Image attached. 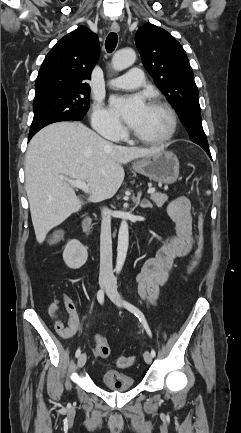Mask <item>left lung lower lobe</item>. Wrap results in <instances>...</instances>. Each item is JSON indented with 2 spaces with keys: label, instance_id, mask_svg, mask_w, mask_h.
<instances>
[{
  "label": "left lung lower lobe",
  "instance_id": "1",
  "mask_svg": "<svg viewBox=\"0 0 241 433\" xmlns=\"http://www.w3.org/2000/svg\"><path fill=\"white\" fill-rule=\"evenodd\" d=\"M206 152H207V154L210 156V158H211V154H210V150H209V147H205V148H203Z\"/></svg>",
  "mask_w": 241,
  "mask_h": 433
}]
</instances>
